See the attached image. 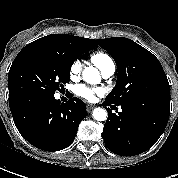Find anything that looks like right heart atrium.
Segmentation results:
<instances>
[{
  "instance_id": "right-heart-atrium-1",
  "label": "right heart atrium",
  "mask_w": 178,
  "mask_h": 178,
  "mask_svg": "<svg viewBox=\"0 0 178 178\" xmlns=\"http://www.w3.org/2000/svg\"><path fill=\"white\" fill-rule=\"evenodd\" d=\"M82 64L80 61L76 60L74 61L69 69V74L71 79H75L79 76L81 71Z\"/></svg>"
}]
</instances>
